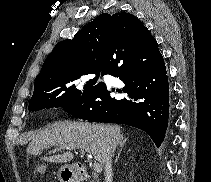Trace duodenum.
I'll return each mask as SVG.
<instances>
[{
    "mask_svg": "<svg viewBox=\"0 0 211 182\" xmlns=\"http://www.w3.org/2000/svg\"><path fill=\"white\" fill-rule=\"evenodd\" d=\"M79 170H78V178L81 181L87 180L89 179L90 175L89 173L82 167V166H78Z\"/></svg>",
    "mask_w": 211,
    "mask_h": 182,
    "instance_id": "duodenum-1",
    "label": "duodenum"
}]
</instances>
